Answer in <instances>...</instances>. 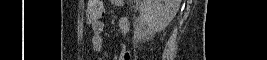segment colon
Listing matches in <instances>:
<instances>
[{
  "instance_id": "5ec220e1",
  "label": "colon",
  "mask_w": 267,
  "mask_h": 60,
  "mask_svg": "<svg viewBox=\"0 0 267 60\" xmlns=\"http://www.w3.org/2000/svg\"><path fill=\"white\" fill-rule=\"evenodd\" d=\"M104 14L102 0H90L86 10L87 20L90 24H96Z\"/></svg>"
}]
</instances>
